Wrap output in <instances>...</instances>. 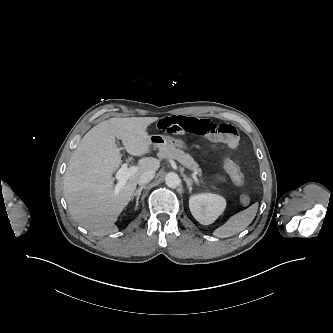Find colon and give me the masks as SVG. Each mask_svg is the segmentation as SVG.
<instances>
[{"mask_svg":"<svg viewBox=\"0 0 333 333\" xmlns=\"http://www.w3.org/2000/svg\"><path fill=\"white\" fill-rule=\"evenodd\" d=\"M223 167L230 179L237 185H243L245 183V176L241 172L236 161L226 158L223 162ZM251 199L248 195L243 194L240 196V203L242 205H248Z\"/></svg>","mask_w":333,"mask_h":333,"instance_id":"1","label":"colon"}]
</instances>
